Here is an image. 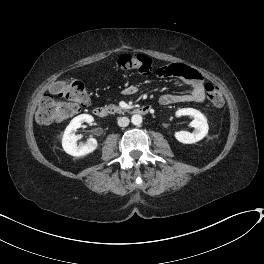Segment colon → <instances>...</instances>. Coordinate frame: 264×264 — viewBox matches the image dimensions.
I'll return each mask as SVG.
<instances>
[{
	"mask_svg": "<svg viewBox=\"0 0 264 264\" xmlns=\"http://www.w3.org/2000/svg\"><path fill=\"white\" fill-rule=\"evenodd\" d=\"M117 68L123 71H136L144 75L154 70L153 61L141 54H123L118 58ZM159 75L167 73L166 67L156 69ZM208 100L215 107L224 104L220 89L211 82L204 85ZM89 94L84 83L75 81L64 85L56 95L44 94L39 102L36 120L42 125L63 122L78 114L89 103Z\"/></svg>",
	"mask_w": 264,
	"mask_h": 264,
	"instance_id": "colon-1",
	"label": "colon"
}]
</instances>
